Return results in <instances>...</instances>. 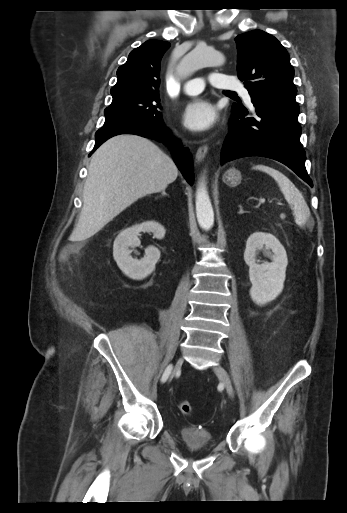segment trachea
Returning a JSON list of instances; mask_svg holds the SVG:
<instances>
[{
    "instance_id": "obj_1",
    "label": "trachea",
    "mask_w": 347,
    "mask_h": 513,
    "mask_svg": "<svg viewBox=\"0 0 347 513\" xmlns=\"http://www.w3.org/2000/svg\"><path fill=\"white\" fill-rule=\"evenodd\" d=\"M227 93H229V94H234V92H232V91H227Z\"/></svg>"
}]
</instances>
